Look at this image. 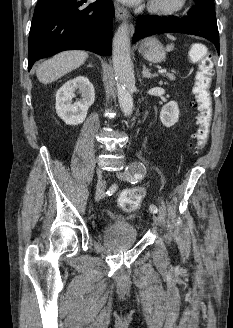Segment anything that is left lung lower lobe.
Returning <instances> with one entry per match:
<instances>
[{
	"instance_id": "obj_1",
	"label": "left lung lower lobe",
	"mask_w": 233,
	"mask_h": 328,
	"mask_svg": "<svg viewBox=\"0 0 233 328\" xmlns=\"http://www.w3.org/2000/svg\"><path fill=\"white\" fill-rule=\"evenodd\" d=\"M186 33L210 40L219 53V35L215 11L198 5L191 8L187 16L182 18H166L153 16L139 17L132 42L156 33Z\"/></svg>"
}]
</instances>
